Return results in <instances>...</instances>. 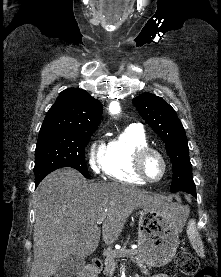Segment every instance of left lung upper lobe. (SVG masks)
I'll return each mask as SVG.
<instances>
[{
	"label": "left lung upper lobe",
	"mask_w": 221,
	"mask_h": 277,
	"mask_svg": "<svg viewBox=\"0 0 221 277\" xmlns=\"http://www.w3.org/2000/svg\"><path fill=\"white\" fill-rule=\"evenodd\" d=\"M133 104L166 145L173 165L170 191L189 192L195 188L187 137L174 109L162 98L149 93L133 99Z\"/></svg>",
	"instance_id": "5c2ea615"
}]
</instances>
